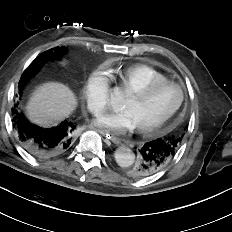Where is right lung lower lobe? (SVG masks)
Returning <instances> with one entry per match:
<instances>
[{"label": "right lung lower lobe", "mask_w": 232, "mask_h": 232, "mask_svg": "<svg viewBox=\"0 0 232 232\" xmlns=\"http://www.w3.org/2000/svg\"><path fill=\"white\" fill-rule=\"evenodd\" d=\"M26 86V85H25ZM20 87L22 92L24 87ZM13 127L23 148L38 158H52L68 151L73 142L75 124L65 120L60 125L52 128H43L29 122L26 117L16 109Z\"/></svg>", "instance_id": "right-lung-lower-lobe-1"}]
</instances>
